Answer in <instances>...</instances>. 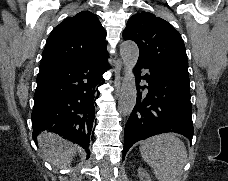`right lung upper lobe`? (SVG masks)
<instances>
[{
  "label": "right lung upper lobe",
  "mask_w": 228,
  "mask_h": 181,
  "mask_svg": "<svg viewBox=\"0 0 228 181\" xmlns=\"http://www.w3.org/2000/svg\"><path fill=\"white\" fill-rule=\"evenodd\" d=\"M105 37L104 28L90 11L66 18L47 39L40 71L108 55Z\"/></svg>",
  "instance_id": "cb5924a9"
}]
</instances>
